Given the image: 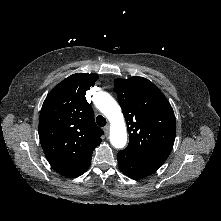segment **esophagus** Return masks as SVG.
<instances>
[{"mask_svg": "<svg viewBox=\"0 0 221 221\" xmlns=\"http://www.w3.org/2000/svg\"><path fill=\"white\" fill-rule=\"evenodd\" d=\"M109 129H110V127L108 125L104 127V132L106 135H108Z\"/></svg>", "mask_w": 221, "mask_h": 221, "instance_id": "34e87169", "label": "esophagus"}]
</instances>
